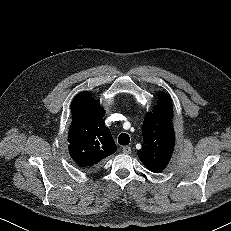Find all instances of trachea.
Here are the masks:
<instances>
[{
	"mask_svg": "<svg viewBox=\"0 0 231 231\" xmlns=\"http://www.w3.org/2000/svg\"><path fill=\"white\" fill-rule=\"evenodd\" d=\"M118 143L120 145L126 146L130 143V137L128 134L126 133H122L120 134L119 138H118Z\"/></svg>",
	"mask_w": 231,
	"mask_h": 231,
	"instance_id": "1",
	"label": "trachea"
}]
</instances>
